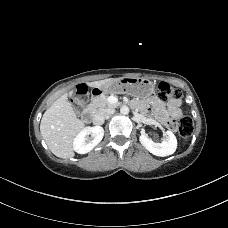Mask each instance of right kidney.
I'll list each match as a JSON object with an SVG mask.
<instances>
[{
    "instance_id": "ca27d5eb",
    "label": "right kidney",
    "mask_w": 228,
    "mask_h": 228,
    "mask_svg": "<svg viewBox=\"0 0 228 228\" xmlns=\"http://www.w3.org/2000/svg\"><path fill=\"white\" fill-rule=\"evenodd\" d=\"M103 136L104 129L101 126L86 127L75 137L73 149L79 154H86L101 142Z\"/></svg>"
}]
</instances>
